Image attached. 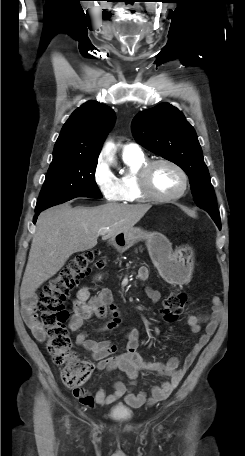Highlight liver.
Listing matches in <instances>:
<instances>
[{
    "label": "liver",
    "mask_w": 245,
    "mask_h": 456,
    "mask_svg": "<svg viewBox=\"0 0 245 456\" xmlns=\"http://www.w3.org/2000/svg\"><path fill=\"white\" fill-rule=\"evenodd\" d=\"M150 204L107 203L97 207L63 204L43 211L37 220L20 297L26 299L53 277L76 252L94 248L103 240L125 233L140 221ZM106 228L108 230L102 233Z\"/></svg>",
    "instance_id": "obj_1"
}]
</instances>
